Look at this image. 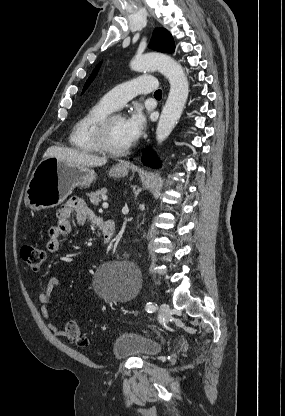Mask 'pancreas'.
I'll return each mask as SVG.
<instances>
[{
    "label": "pancreas",
    "mask_w": 285,
    "mask_h": 416,
    "mask_svg": "<svg viewBox=\"0 0 285 416\" xmlns=\"http://www.w3.org/2000/svg\"><path fill=\"white\" fill-rule=\"evenodd\" d=\"M106 194V188H102V190H97V192H91V194H87V196H89L91 204H94V206H99V202H101L103 196H106Z\"/></svg>",
    "instance_id": "obj_1"
}]
</instances>
